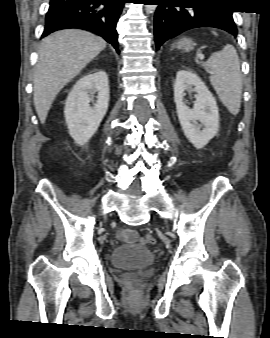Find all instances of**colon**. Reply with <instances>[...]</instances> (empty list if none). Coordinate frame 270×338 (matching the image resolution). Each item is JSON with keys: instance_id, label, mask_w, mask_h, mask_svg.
<instances>
[{"instance_id": "obj_1", "label": "colon", "mask_w": 270, "mask_h": 338, "mask_svg": "<svg viewBox=\"0 0 270 338\" xmlns=\"http://www.w3.org/2000/svg\"><path fill=\"white\" fill-rule=\"evenodd\" d=\"M140 241H141L142 243H146V244H149V245H153V244H155V242H156L155 238H154V237H151V236H145V237H142V238L140 239Z\"/></svg>"}]
</instances>
